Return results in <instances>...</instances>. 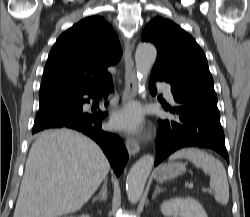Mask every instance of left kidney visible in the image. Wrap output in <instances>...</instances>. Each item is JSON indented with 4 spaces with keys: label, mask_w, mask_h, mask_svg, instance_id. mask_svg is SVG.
<instances>
[{
    "label": "left kidney",
    "mask_w": 250,
    "mask_h": 217,
    "mask_svg": "<svg viewBox=\"0 0 250 217\" xmlns=\"http://www.w3.org/2000/svg\"><path fill=\"white\" fill-rule=\"evenodd\" d=\"M161 212L167 217H208L202 205L190 197L164 201Z\"/></svg>",
    "instance_id": "5707ae66"
}]
</instances>
